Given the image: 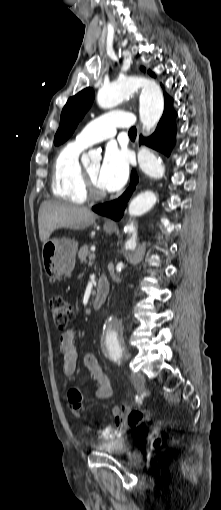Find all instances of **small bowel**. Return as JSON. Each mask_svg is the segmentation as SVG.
Instances as JSON below:
<instances>
[{"label":"small bowel","instance_id":"c3829d8e","mask_svg":"<svg viewBox=\"0 0 221 510\" xmlns=\"http://www.w3.org/2000/svg\"><path fill=\"white\" fill-rule=\"evenodd\" d=\"M59 350L62 356V372L67 375H73L77 366V350L75 345V333L68 330L59 337ZM83 363L90 372L92 379L97 383L96 397L105 400L113 394L114 386L111 378L102 370L96 355L93 352L85 353ZM68 407L71 413L79 416L83 410L82 393L79 389H70L68 391ZM130 406H115L112 409L115 427L110 428L112 435L108 439L116 438L123 434L128 428L125 421L124 412L130 411Z\"/></svg>","mask_w":221,"mask_h":510}]
</instances>
